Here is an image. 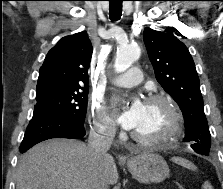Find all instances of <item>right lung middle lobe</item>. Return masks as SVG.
Listing matches in <instances>:
<instances>
[{
	"label": "right lung middle lobe",
	"instance_id": "obj_1",
	"mask_svg": "<svg viewBox=\"0 0 223 189\" xmlns=\"http://www.w3.org/2000/svg\"><path fill=\"white\" fill-rule=\"evenodd\" d=\"M35 111L57 114L84 124L88 88L47 90L36 93Z\"/></svg>",
	"mask_w": 223,
	"mask_h": 189
}]
</instances>
